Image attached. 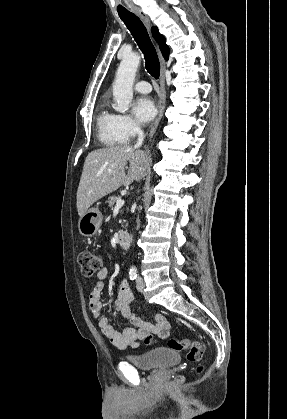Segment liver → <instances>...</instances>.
<instances>
[{
    "mask_svg": "<svg viewBox=\"0 0 287 419\" xmlns=\"http://www.w3.org/2000/svg\"><path fill=\"white\" fill-rule=\"evenodd\" d=\"M129 162L127 174L125 167ZM150 162L147 152L127 145L91 151L84 162L77 190V211L82 217L89 207L120 186L140 181Z\"/></svg>",
    "mask_w": 287,
    "mask_h": 419,
    "instance_id": "obj_1",
    "label": "liver"
}]
</instances>
